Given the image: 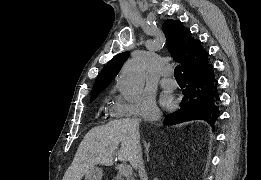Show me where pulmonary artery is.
Returning <instances> with one entry per match:
<instances>
[{
    "label": "pulmonary artery",
    "mask_w": 261,
    "mask_h": 180,
    "mask_svg": "<svg viewBox=\"0 0 261 180\" xmlns=\"http://www.w3.org/2000/svg\"><path fill=\"white\" fill-rule=\"evenodd\" d=\"M173 70L172 69H164L162 72V80L160 82L161 86L168 90H173L177 87L175 80L172 78Z\"/></svg>",
    "instance_id": "e3ab8cb5"
}]
</instances>
